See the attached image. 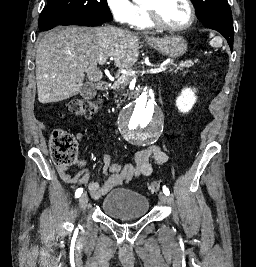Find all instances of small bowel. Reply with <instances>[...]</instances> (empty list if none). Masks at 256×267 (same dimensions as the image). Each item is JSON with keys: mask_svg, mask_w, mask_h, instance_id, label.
Here are the masks:
<instances>
[{"mask_svg": "<svg viewBox=\"0 0 256 267\" xmlns=\"http://www.w3.org/2000/svg\"><path fill=\"white\" fill-rule=\"evenodd\" d=\"M77 140L82 141L83 137L79 134ZM168 158L167 153L157 144H150L137 150L133 160L125 164L114 163L110 154H104L103 172L106 179L103 183L91 180L90 174L86 170L72 175L68 172L67 166L57 165V172L65 183L88 187L91 196L98 199L114 188L140 176L150 177L153 174L152 162L156 165H163L168 161Z\"/></svg>", "mask_w": 256, "mask_h": 267, "instance_id": "c3829d8e", "label": "small bowel"}]
</instances>
